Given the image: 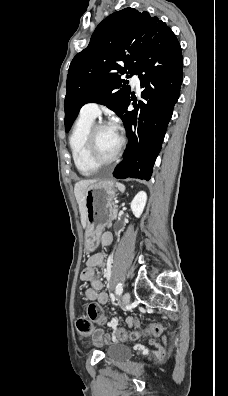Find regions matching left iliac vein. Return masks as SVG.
<instances>
[{
    "label": "left iliac vein",
    "instance_id": "obj_1",
    "mask_svg": "<svg viewBox=\"0 0 228 396\" xmlns=\"http://www.w3.org/2000/svg\"><path fill=\"white\" fill-rule=\"evenodd\" d=\"M130 302V293L129 292H125L122 295V305L123 306H127Z\"/></svg>",
    "mask_w": 228,
    "mask_h": 396
}]
</instances>
